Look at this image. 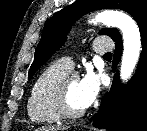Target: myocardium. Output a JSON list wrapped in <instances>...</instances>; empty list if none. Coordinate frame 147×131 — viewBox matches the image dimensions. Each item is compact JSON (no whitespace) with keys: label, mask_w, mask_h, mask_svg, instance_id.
<instances>
[{"label":"myocardium","mask_w":147,"mask_h":131,"mask_svg":"<svg viewBox=\"0 0 147 131\" xmlns=\"http://www.w3.org/2000/svg\"><path fill=\"white\" fill-rule=\"evenodd\" d=\"M79 75L76 72L69 71L68 73L61 76L52 88V101L56 112L61 118L64 119H76L82 117L86 109L75 110L69 106L67 99V88L68 84L78 79Z\"/></svg>","instance_id":"myocardium-1"}]
</instances>
